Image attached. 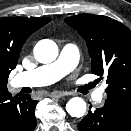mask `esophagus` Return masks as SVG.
<instances>
[{"label":"esophagus","mask_w":131,"mask_h":131,"mask_svg":"<svg viewBox=\"0 0 131 131\" xmlns=\"http://www.w3.org/2000/svg\"><path fill=\"white\" fill-rule=\"evenodd\" d=\"M68 95H70V93H68V92H53L50 94V97L61 98V97L68 96Z\"/></svg>","instance_id":"1"}]
</instances>
